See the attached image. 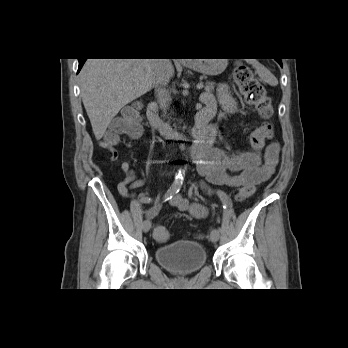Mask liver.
Segmentation results:
<instances>
[{
	"instance_id": "liver-1",
	"label": "liver",
	"mask_w": 348,
	"mask_h": 348,
	"mask_svg": "<svg viewBox=\"0 0 348 348\" xmlns=\"http://www.w3.org/2000/svg\"><path fill=\"white\" fill-rule=\"evenodd\" d=\"M153 59H88L80 71L81 97L100 140L119 111L154 87ZM169 76L174 68L169 61Z\"/></svg>"
}]
</instances>
